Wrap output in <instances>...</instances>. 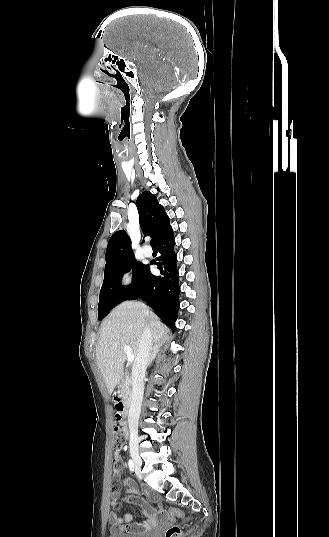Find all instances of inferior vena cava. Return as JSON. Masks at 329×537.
<instances>
[{
	"label": "inferior vena cava",
	"instance_id": "1",
	"mask_svg": "<svg viewBox=\"0 0 329 537\" xmlns=\"http://www.w3.org/2000/svg\"><path fill=\"white\" fill-rule=\"evenodd\" d=\"M151 346L152 334L147 326L141 335L138 351L132 365V395L128 413V425L130 431L135 434L138 432V420L144 391L143 378L150 357Z\"/></svg>",
	"mask_w": 329,
	"mask_h": 537
}]
</instances>
